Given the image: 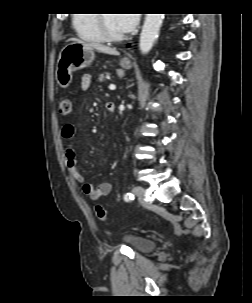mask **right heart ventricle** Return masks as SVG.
Wrapping results in <instances>:
<instances>
[{
	"mask_svg": "<svg viewBox=\"0 0 252 303\" xmlns=\"http://www.w3.org/2000/svg\"><path fill=\"white\" fill-rule=\"evenodd\" d=\"M73 24L82 38L93 42L105 40L100 29L98 14H78L74 18Z\"/></svg>",
	"mask_w": 252,
	"mask_h": 303,
	"instance_id": "right-heart-ventricle-1",
	"label": "right heart ventricle"
}]
</instances>
